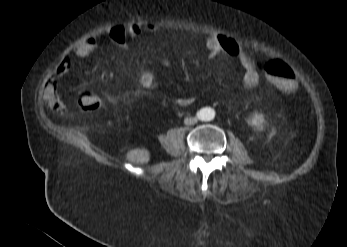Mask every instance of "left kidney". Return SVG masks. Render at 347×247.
<instances>
[{"mask_svg": "<svg viewBox=\"0 0 347 247\" xmlns=\"http://www.w3.org/2000/svg\"><path fill=\"white\" fill-rule=\"evenodd\" d=\"M264 120V117L262 114H255L252 119L250 120V124L254 126H260Z\"/></svg>", "mask_w": 347, "mask_h": 247, "instance_id": "obj_1", "label": "left kidney"}]
</instances>
